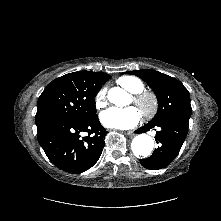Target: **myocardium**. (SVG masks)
<instances>
[{
	"label": "myocardium",
	"mask_w": 221,
	"mask_h": 221,
	"mask_svg": "<svg viewBox=\"0 0 221 221\" xmlns=\"http://www.w3.org/2000/svg\"><path fill=\"white\" fill-rule=\"evenodd\" d=\"M134 104L146 118H152L158 111L159 102L155 93L142 90L133 95Z\"/></svg>",
	"instance_id": "myocardium-1"
}]
</instances>
